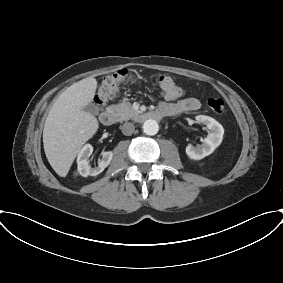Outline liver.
Listing matches in <instances>:
<instances>
[{"label": "liver", "mask_w": 283, "mask_h": 283, "mask_svg": "<svg viewBox=\"0 0 283 283\" xmlns=\"http://www.w3.org/2000/svg\"><path fill=\"white\" fill-rule=\"evenodd\" d=\"M97 81L82 79L68 87L55 101L43 130L45 155L54 171L65 177L81 147L98 130L97 118L86 112L95 95Z\"/></svg>", "instance_id": "obj_1"}]
</instances>
